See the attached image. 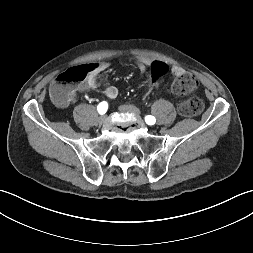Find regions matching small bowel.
<instances>
[{
	"label": "small bowel",
	"mask_w": 253,
	"mask_h": 253,
	"mask_svg": "<svg viewBox=\"0 0 253 253\" xmlns=\"http://www.w3.org/2000/svg\"><path fill=\"white\" fill-rule=\"evenodd\" d=\"M155 61L148 58H137L136 65L139 69L140 73H145L146 69L149 67L150 64ZM109 68V63L107 62H100L93 65L92 73L89 75L88 79L79 84L77 86V91L84 92L90 89H95L97 86V75ZM172 74L175 77L180 76L182 73H184V70L179 66H174L171 69ZM104 94L107 98L113 100L118 96V89L115 86H108L104 90Z\"/></svg>",
	"instance_id": "1"
}]
</instances>
